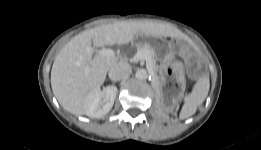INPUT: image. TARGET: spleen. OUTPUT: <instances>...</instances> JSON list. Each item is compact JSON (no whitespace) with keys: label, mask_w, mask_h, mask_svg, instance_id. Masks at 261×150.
Wrapping results in <instances>:
<instances>
[{"label":"spleen","mask_w":261,"mask_h":150,"mask_svg":"<svg viewBox=\"0 0 261 150\" xmlns=\"http://www.w3.org/2000/svg\"><path fill=\"white\" fill-rule=\"evenodd\" d=\"M210 88V81L208 77L200 78L188 98L186 99L181 112L180 119H186L192 115H194L197 111V108L202 105L204 100L206 99Z\"/></svg>","instance_id":"3e777b00"}]
</instances>
